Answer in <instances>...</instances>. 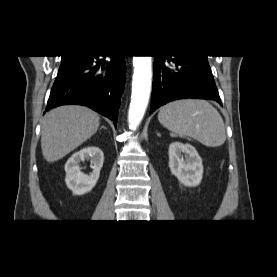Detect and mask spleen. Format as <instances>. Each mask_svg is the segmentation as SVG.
I'll return each instance as SVG.
<instances>
[{"label":"spleen","mask_w":277,"mask_h":277,"mask_svg":"<svg viewBox=\"0 0 277 277\" xmlns=\"http://www.w3.org/2000/svg\"><path fill=\"white\" fill-rule=\"evenodd\" d=\"M159 122L180 137H192L205 146L224 144L226 133L219 112L205 100L173 101L160 109Z\"/></svg>","instance_id":"obj_1"}]
</instances>
